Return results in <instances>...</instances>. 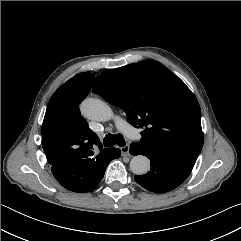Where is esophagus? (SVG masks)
<instances>
[{
  "label": "esophagus",
  "mask_w": 241,
  "mask_h": 241,
  "mask_svg": "<svg viewBox=\"0 0 241 241\" xmlns=\"http://www.w3.org/2000/svg\"><path fill=\"white\" fill-rule=\"evenodd\" d=\"M129 150H130L129 145H125V146L121 147L122 155H124V156L130 155Z\"/></svg>",
  "instance_id": "34e87169"
}]
</instances>
